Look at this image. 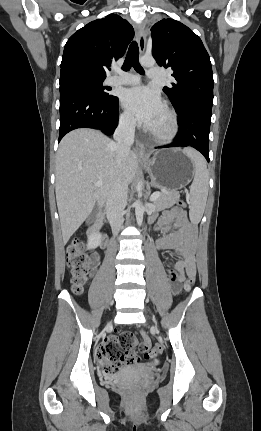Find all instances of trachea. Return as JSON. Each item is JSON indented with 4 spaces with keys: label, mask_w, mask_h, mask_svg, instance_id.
Masks as SVG:
<instances>
[{
    "label": "trachea",
    "mask_w": 261,
    "mask_h": 431,
    "mask_svg": "<svg viewBox=\"0 0 261 431\" xmlns=\"http://www.w3.org/2000/svg\"><path fill=\"white\" fill-rule=\"evenodd\" d=\"M131 67H133L137 72L144 74V70L139 63L138 44L135 41L132 42L129 47L122 69L124 71H128Z\"/></svg>",
    "instance_id": "1"
}]
</instances>
